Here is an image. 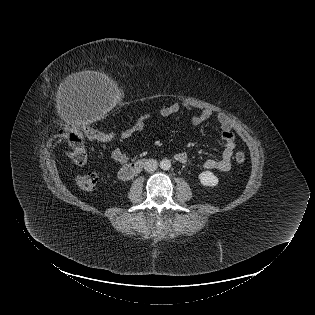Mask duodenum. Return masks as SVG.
Instances as JSON below:
<instances>
[{"instance_id": "410a0bca", "label": "duodenum", "mask_w": 315, "mask_h": 315, "mask_svg": "<svg viewBox=\"0 0 315 315\" xmlns=\"http://www.w3.org/2000/svg\"><path fill=\"white\" fill-rule=\"evenodd\" d=\"M143 165V159L135 160L131 163L126 164L119 171L120 178L125 181L130 180L141 171Z\"/></svg>"}]
</instances>
